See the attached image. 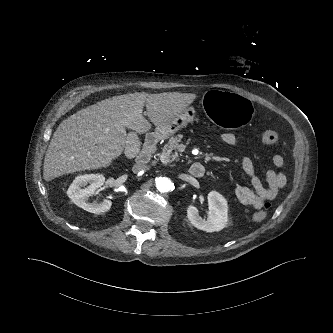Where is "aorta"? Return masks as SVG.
<instances>
[{
    "label": "aorta",
    "instance_id": "762f6f07",
    "mask_svg": "<svg viewBox=\"0 0 333 333\" xmlns=\"http://www.w3.org/2000/svg\"><path fill=\"white\" fill-rule=\"evenodd\" d=\"M156 187L162 193L169 192L173 187V183L167 177H159L156 179Z\"/></svg>",
    "mask_w": 333,
    "mask_h": 333
}]
</instances>
